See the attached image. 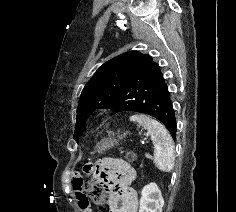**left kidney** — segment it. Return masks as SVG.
I'll return each mask as SVG.
<instances>
[{
  "label": "left kidney",
  "mask_w": 236,
  "mask_h": 212,
  "mask_svg": "<svg viewBox=\"0 0 236 212\" xmlns=\"http://www.w3.org/2000/svg\"><path fill=\"white\" fill-rule=\"evenodd\" d=\"M163 205L164 200L161 191L155 183L143 187L139 212H162Z\"/></svg>",
  "instance_id": "obj_1"
}]
</instances>
